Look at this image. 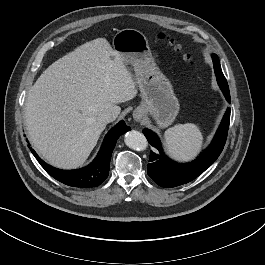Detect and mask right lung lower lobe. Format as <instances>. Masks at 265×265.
Here are the masks:
<instances>
[{
    "mask_svg": "<svg viewBox=\"0 0 265 265\" xmlns=\"http://www.w3.org/2000/svg\"><path fill=\"white\" fill-rule=\"evenodd\" d=\"M129 130L130 127H128L124 121H120L106 135L101 149L94 161L79 170L66 171L56 169L42 161L33 149L31 152L41 166L53 178L61 183L73 187H96L100 185L109 174L110 159L117 139Z\"/></svg>",
    "mask_w": 265,
    "mask_h": 265,
    "instance_id": "right-lung-lower-lobe-1",
    "label": "right lung lower lobe"
}]
</instances>
